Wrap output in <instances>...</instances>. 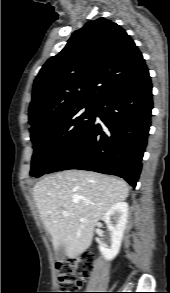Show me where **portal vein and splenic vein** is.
<instances>
[{"instance_id": "portal-vein-and-splenic-vein-1", "label": "portal vein and splenic vein", "mask_w": 170, "mask_h": 293, "mask_svg": "<svg viewBox=\"0 0 170 293\" xmlns=\"http://www.w3.org/2000/svg\"><path fill=\"white\" fill-rule=\"evenodd\" d=\"M62 215H63V216H68L69 213H68L67 211H63V212H62Z\"/></svg>"}]
</instances>
